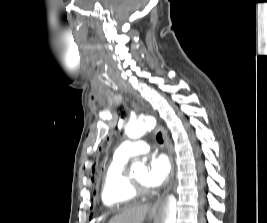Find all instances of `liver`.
<instances>
[{"instance_id": "6515ba94", "label": "liver", "mask_w": 267, "mask_h": 223, "mask_svg": "<svg viewBox=\"0 0 267 223\" xmlns=\"http://www.w3.org/2000/svg\"><path fill=\"white\" fill-rule=\"evenodd\" d=\"M149 209L148 204L126 208L120 214L111 218L109 223H143Z\"/></svg>"}]
</instances>
